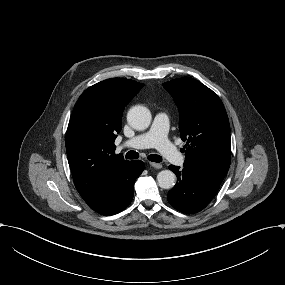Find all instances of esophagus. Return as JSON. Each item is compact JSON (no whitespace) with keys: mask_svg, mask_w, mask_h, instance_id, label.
I'll return each instance as SVG.
<instances>
[{"mask_svg":"<svg viewBox=\"0 0 285 285\" xmlns=\"http://www.w3.org/2000/svg\"><path fill=\"white\" fill-rule=\"evenodd\" d=\"M149 164L156 169L162 168V164H160V163L150 162Z\"/></svg>","mask_w":285,"mask_h":285,"instance_id":"34e87169","label":"esophagus"}]
</instances>
